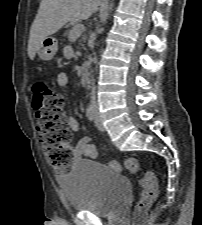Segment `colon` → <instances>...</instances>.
<instances>
[{"mask_svg":"<svg viewBox=\"0 0 202 225\" xmlns=\"http://www.w3.org/2000/svg\"><path fill=\"white\" fill-rule=\"evenodd\" d=\"M35 102V129L39 136L42 149L51 166L58 173H66L72 165L74 149L71 146L72 132L67 126L63 115L62 97L45 82L34 84ZM110 165L119 168V162L112 160ZM140 162L137 158H128L125 161V169L129 173L139 171ZM141 187L140 197L134 210V220L140 221L143 214L156 201L158 197V185L155 175L146 170L139 180Z\"/></svg>","mask_w":202,"mask_h":225,"instance_id":"5ec220e1","label":"colon"}]
</instances>
